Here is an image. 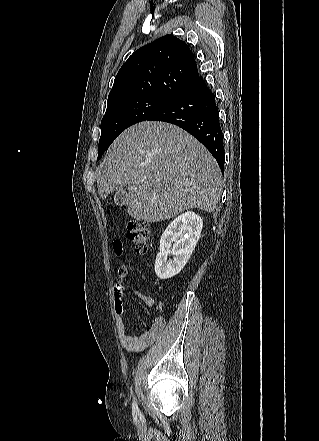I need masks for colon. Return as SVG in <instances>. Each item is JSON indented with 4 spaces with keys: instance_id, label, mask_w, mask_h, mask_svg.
Instances as JSON below:
<instances>
[{
    "instance_id": "colon-1",
    "label": "colon",
    "mask_w": 319,
    "mask_h": 441,
    "mask_svg": "<svg viewBox=\"0 0 319 441\" xmlns=\"http://www.w3.org/2000/svg\"><path fill=\"white\" fill-rule=\"evenodd\" d=\"M150 237L149 225L144 222L132 221L128 225V238L132 242L138 254H144L148 249ZM121 244L119 240L114 242V246Z\"/></svg>"
}]
</instances>
